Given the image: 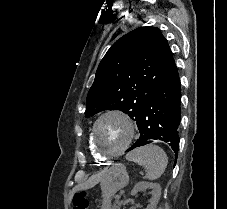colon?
<instances>
[{
  "label": "colon",
  "mask_w": 227,
  "mask_h": 209,
  "mask_svg": "<svg viewBox=\"0 0 227 209\" xmlns=\"http://www.w3.org/2000/svg\"><path fill=\"white\" fill-rule=\"evenodd\" d=\"M72 209H89V200L85 191H78L73 196Z\"/></svg>",
  "instance_id": "colon-1"
}]
</instances>
